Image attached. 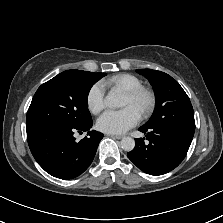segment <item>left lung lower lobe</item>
Returning <instances> with one entry per match:
<instances>
[{
	"mask_svg": "<svg viewBox=\"0 0 223 223\" xmlns=\"http://www.w3.org/2000/svg\"><path fill=\"white\" fill-rule=\"evenodd\" d=\"M145 138L135 139V148L127 153L129 159L142 171L162 175L176 168L185 158L194 131L173 126H142Z\"/></svg>",
	"mask_w": 223,
	"mask_h": 223,
	"instance_id": "obj_1",
	"label": "left lung lower lobe"
}]
</instances>
